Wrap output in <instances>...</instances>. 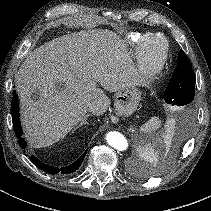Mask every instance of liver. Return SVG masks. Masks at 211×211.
<instances>
[{
    "label": "liver",
    "instance_id": "6515ba94",
    "mask_svg": "<svg viewBox=\"0 0 211 211\" xmlns=\"http://www.w3.org/2000/svg\"><path fill=\"white\" fill-rule=\"evenodd\" d=\"M21 122L34 148L64 138L87 114L109 107V92L136 84L125 43L109 30H82L55 38L30 52L15 76ZM38 91L39 98L32 100Z\"/></svg>",
    "mask_w": 211,
    "mask_h": 211
}]
</instances>
